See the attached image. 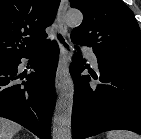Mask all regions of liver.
<instances>
[{"mask_svg":"<svg viewBox=\"0 0 141 139\" xmlns=\"http://www.w3.org/2000/svg\"><path fill=\"white\" fill-rule=\"evenodd\" d=\"M21 128L19 124L0 117V139H13V136L21 130Z\"/></svg>","mask_w":141,"mask_h":139,"instance_id":"1","label":"liver"}]
</instances>
